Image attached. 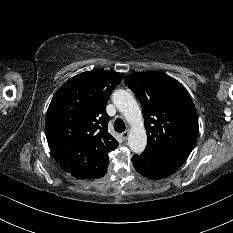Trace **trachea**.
<instances>
[{"label": "trachea", "instance_id": "obj_1", "mask_svg": "<svg viewBox=\"0 0 233 233\" xmlns=\"http://www.w3.org/2000/svg\"><path fill=\"white\" fill-rule=\"evenodd\" d=\"M114 129L116 132H123L125 130V122L122 119H116Z\"/></svg>", "mask_w": 233, "mask_h": 233}]
</instances>
